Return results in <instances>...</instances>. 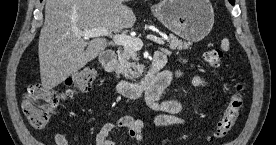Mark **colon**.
Here are the masks:
<instances>
[{
	"mask_svg": "<svg viewBox=\"0 0 276 145\" xmlns=\"http://www.w3.org/2000/svg\"><path fill=\"white\" fill-rule=\"evenodd\" d=\"M223 52L213 48L205 52L203 59L207 67L218 69L222 65ZM96 79L93 69H82L66 79L65 89L44 87L41 84L28 86L23 98L22 111L33 128H42L50 120L51 112L64 98L73 96L79 92L87 91ZM244 105L243 86L238 84L230 96L220 120L216 125L213 137L222 139L228 135L236 124Z\"/></svg>",
	"mask_w": 276,
	"mask_h": 145,
	"instance_id": "1",
	"label": "colon"
}]
</instances>
